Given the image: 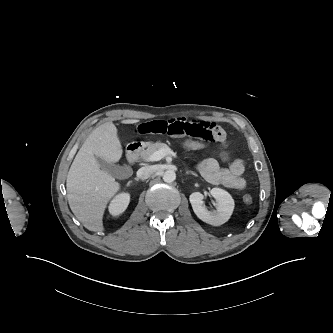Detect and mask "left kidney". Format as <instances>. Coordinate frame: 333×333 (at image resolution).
Here are the masks:
<instances>
[{
  "instance_id": "1",
  "label": "left kidney",
  "mask_w": 333,
  "mask_h": 333,
  "mask_svg": "<svg viewBox=\"0 0 333 333\" xmlns=\"http://www.w3.org/2000/svg\"><path fill=\"white\" fill-rule=\"evenodd\" d=\"M211 195L217 202V207L213 211L207 210L204 205V196L200 192H194L190 195L189 200L196 216L203 222L213 226H220L228 221L234 209V200L225 190L213 188Z\"/></svg>"
}]
</instances>
